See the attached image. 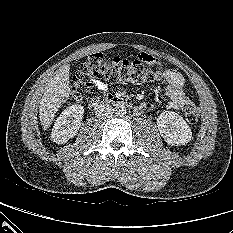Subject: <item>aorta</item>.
<instances>
[{
    "instance_id": "aorta-1",
    "label": "aorta",
    "mask_w": 233,
    "mask_h": 233,
    "mask_svg": "<svg viewBox=\"0 0 233 233\" xmlns=\"http://www.w3.org/2000/svg\"><path fill=\"white\" fill-rule=\"evenodd\" d=\"M126 105L124 103H118L115 107V113L118 116H123L126 114Z\"/></svg>"
}]
</instances>
